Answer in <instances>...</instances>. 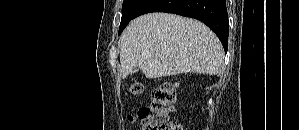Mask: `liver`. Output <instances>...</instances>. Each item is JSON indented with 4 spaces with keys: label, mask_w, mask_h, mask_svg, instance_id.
Masks as SVG:
<instances>
[{
    "label": "liver",
    "mask_w": 299,
    "mask_h": 130,
    "mask_svg": "<svg viewBox=\"0 0 299 130\" xmlns=\"http://www.w3.org/2000/svg\"><path fill=\"white\" fill-rule=\"evenodd\" d=\"M223 60V47L206 25L174 14L142 15L121 36L123 78L134 68L149 79L188 72L216 75Z\"/></svg>",
    "instance_id": "1"
}]
</instances>
